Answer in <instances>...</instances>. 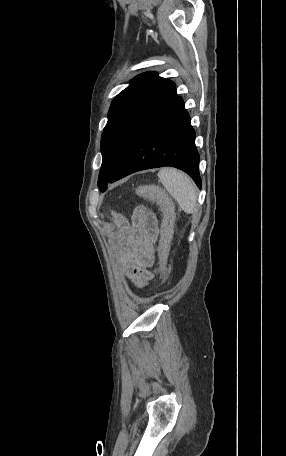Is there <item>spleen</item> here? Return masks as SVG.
I'll list each match as a JSON object with an SVG mask.
<instances>
[{"label":"spleen","instance_id":"spleen-1","mask_svg":"<svg viewBox=\"0 0 286 456\" xmlns=\"http://www.w3.org/2000/svg\"><path fill=\"white\" fill-rule=\"evenodd\" d=\"M158 177L185 213L192 214L196 211V185L187 174L174 168H163L159 171Z\"/></svg>","mask_w":286,"mask_h":456}]
</instances>
